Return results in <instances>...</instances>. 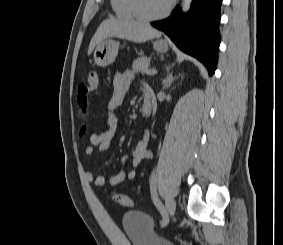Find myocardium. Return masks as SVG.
<instances>
[{
    "label": "myocardium",
    "mask_w": 283,
    "mask_h": 245,
    "mask_svg": "<svg viewBox=\"0 0 283 245\" xmlns=\"http://www.w3.org/2000/svg\"><path fill=\"white\" fill-rule=\"evenodd\" d=\"M173 4H174V0H169L167 6L161 13L156 14V15H148L143 11L141 7V0H132V7H133L135 14L137 15L139 19L144 20V21H157V20L165 18L170 13L173 7Z\"/></svg>",
    "instance_id": "f54148a6"
}]
</instances>
